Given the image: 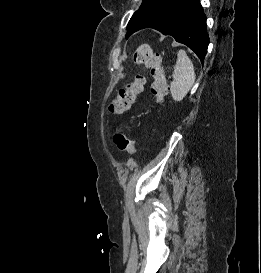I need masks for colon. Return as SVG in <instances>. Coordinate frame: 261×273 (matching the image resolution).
Masks as SVG:
<instances>
[{"instance_id":"1","label":"colon","mask_w":261,"mask_h":273,"mask_svg":"<svg viewBox=\"0 0 261 273\" xmlns=\"http://www.w3.org/2000/svg\"><path fill=\"white\" fill-rule=\"evenodd\" d=\"M133 62L136 65H144L150 70L153 78L151 93L157 103H161L167 95L168 88L162 66V57L155 52L151 46L142 44L133 53ZM145 79L137 74L134 79L126 83L118 91L117 96L109 105L112 114H122L129 110L136 100V97L143 91ZM113 141L118 150L134 154L136 147L134 140L127 136L121 128H118L113 136Z\"/></svg>"}]
</instances>
